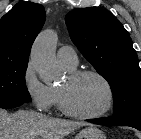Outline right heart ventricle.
Returning <instances> with one entry per match:
<instances>
[{
  "label": "right heart ventricle",
  "mask_w": 141,
  "mask_h": 139,
  "mask_svg": "<svg viewBox=\"0 0 141 139\" xmlns=\"http://www.w3.org/2000/svg\"><path fill=\"white\" fill-rule=\"evenodd\" d=\"M65 67V66H64ZM69 72L75 70L74 68H70V67H65ZM53 93H54V104L59 105V93H58V88H52Z\"/></svg>",
  "instance_id": "right-heart-ventricle-1"
}]
</instances>
